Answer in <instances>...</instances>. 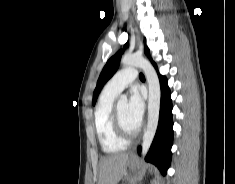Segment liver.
<instances>
[{
    "mask_svg": "<svg viewBox=\"0 0 235 184\" xmlns=\"http://www.w3.org/2000/svg\"><path fill=\"white\" fill-rule=\"evenodd\" d=\"M129 154L103 156L99 162V184H118L126 174Z\"/></svg>",
    "mask_w": 235,
    "mask_h": 184,
    "instance_id": "1",
    "label": "liver"
}]
</instances>
